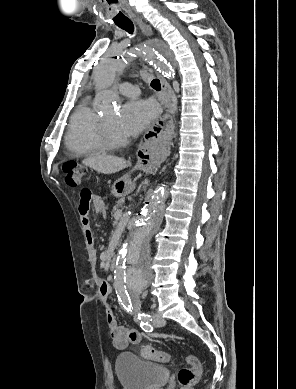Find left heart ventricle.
<instances>
[{"label":"left heart ventricle","mask_w":296,"mask_h":389,"mask_svg":"<svg viewBox=\"0 0 296 389\" xmlns=\"http://www.w3.org/2000/svg\"><path fill=\"white\" fill-rule=\"evenodd\" d=\"M103 120L106 122V125L109 129V131L114 135V136H123L118 128H117V120L118 116L116 114H109L103 117Z\"/></svg>","instance_id":"1"}]
</instances>
